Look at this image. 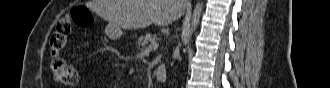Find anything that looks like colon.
Listing matches in <instances>:
<instances>
[{"mask_svg": "<svg viewBox=\"0 0 330 88\" xmlns=\"http://www.w3.org/2000/svg\"><path fill=\"white\" fill-rule=\"evenodd\" d=\"M73 23L88 27L92 23L91 14L83 7L73 8L69 14L62 16L56 23L55 30L49 38L50 70L54 79L64 86H74L78 82V72L68 61L60 57L66 48L68 37L72 33Z\"/></svg>", "mask_w": 330, "mask_h": 88, "instance_id": "1", "label": "colon"}]
</instances>
